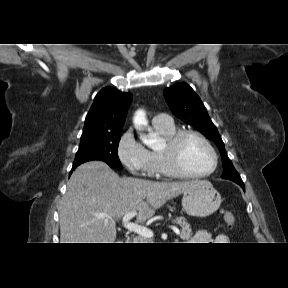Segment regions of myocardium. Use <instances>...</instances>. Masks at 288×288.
I'll return each instance as SVG.
<instances>
[{"label": "myocardium", "mask_w": 288, "mask_h": 288, "mask_svg": "<svg viewBox=\"0 0 288 288\" xmlns=\"http://www.w3.org/2000/svg\"><path fill=\"white\" fill-rule=\"evenodd\" d=\"M189 137H194L200 140L211 152L213 156V167L211 170L205 173L195 174L187 171L180 160V149L181 145L185 139ZM162 157L168 166V168L179 177L189 178V179H202L214 174L218 168L219 157L216 149L211 144V142L201 133L194 130H180L177 131L173 136L167 139L161 149Z\"/></svg>", "instance_id": "myocardium-1"}]
</instances>
